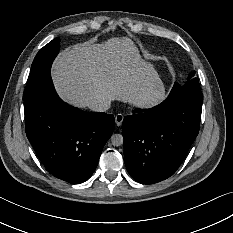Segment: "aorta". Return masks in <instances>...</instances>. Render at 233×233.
Returning <instances> with one entry per match:
<instances>
[{
  "label": "aorta",
  "mask_w": 233,
  "mask_h": 233,
  "mask_svg": "<svg viewBox=\"0 0 233 233\" xmlns=\"http://www.w3.org/2000/svg\"><path fill=\"white\" fill-rule=\"evenodd\" d=\"M110 141L113 146H121L123 144V136L120 134H114L111 136Z\"/></svg>",
  "instance_id": "obj_1"
}]
</instances>
